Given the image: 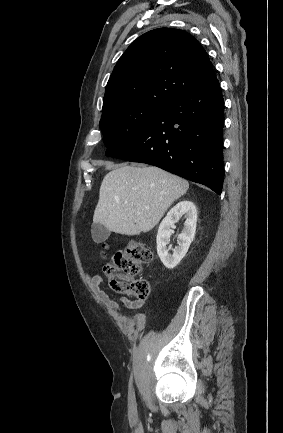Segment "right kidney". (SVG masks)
Listing matches in <instances>:
<instances>
[{
	"label": "right kidney",
	"mask_w": 283,
	"mask_h": 433,
	"mask_svg": "<svg viewBox=\"0 0 283 433\" xmlns=\"http://www.w3.org/2000/svg\"><path fill=\"white\" fill-rule=\"evenodd\" d=\"M181 216L186 218L184 229L178 236V246L173 249V254L169 253L170 246L167 247L169 238L172 234L174 224ZM197 224L196 206L191 201H181L176 204L162 220L157 233V254L168 269L176 267L187 253L193 241Z\"/></svg>",
	"instance_id": "obj_1"
}]
</instances>
